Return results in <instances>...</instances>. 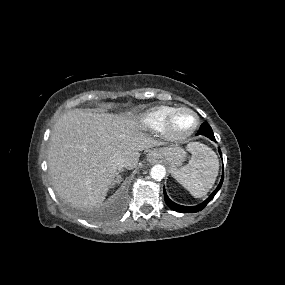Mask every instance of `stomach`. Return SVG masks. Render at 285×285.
I'll return each instance as SVG.
<instances>
[{"label":"stomach","mask_w":285,"mask_h":285,"mask_svg":"<svg viewBox=\"0 0 285 285\" xmlns=\"http://www.w3.org/2000/svg\"><path fill=\"white\" fill-rule=\"evenodd\" d=\"M154 153L168 162L172 169L180 166L186 158V152L177 145L157 149Z\"/></svg>","instance_id":"1"}]
</instances>
